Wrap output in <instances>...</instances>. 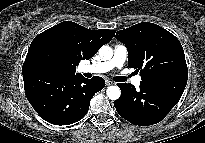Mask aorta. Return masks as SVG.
Listing matches in <instances>:
<instances>
[{"mask_svg":"<svg viewBox=\"0 0 205 143\" xmlns=\"http://www.w3.org/2000/svg\"><path fill=\"white\" fill-rule=\"evenodd\" d=\"M99 56L102 60H110L113 56V50L111 47L104 45L99 49ZM106 94L110 100H117L120 98L121 90L118 86H109L106 90Z\"/></svg>","mask_w":205,"mask_h":143,"instance_id":"1","label":"aorta"}]
</instances>
